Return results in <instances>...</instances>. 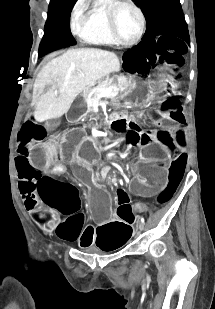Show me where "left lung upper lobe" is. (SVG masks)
<instances>
[{
    "mask_svg": "<svg viewBox=\"0 0 215 309\" xmlns=\"http://www.w3.org/2000/svg\"><path fill=\"white\" fill-rule=\"evenodd\" d=\"M146 18L142 39L177 37L190 43L187 23L179 0H135Z\"/></svg>",
    "mask_w": 215,
    "mask_h": 309,
    "instance_id": "obj_1",
    "label": "left lung upper lobe"
}]
</instances>
